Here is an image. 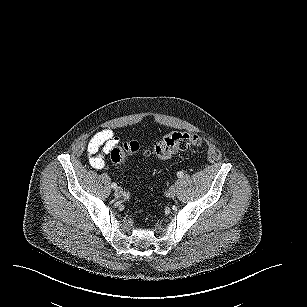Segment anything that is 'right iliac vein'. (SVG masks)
Returning <instances> with one entry per match:
<instances>
[{"label": "right iliac vein", "mask_w": 307, "mask_h": 307, "mask_svg": "<svg viewBox=\"0 0 307 307\" xmlns=\"http://www.w3.org/2000/svg\"><path fill=\"white\" fill-rule=\"evenodd\" d=\"M122 195H123V189L120 188V187L116 188V189H115V196H116L117 198H120Z\"/></svg>", "instance_id": "63e3f726"}]
</instances>
